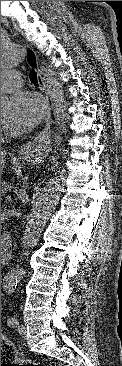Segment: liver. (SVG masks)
<instances>
[{
  "label": "liver",
  "mask_w": 122,
  "mask_h": 366,
  "mask_svg": "<svg viewBox=\"0 0 122 366\" xmlns=\"http://www.w3.org/2000/svg\"><path fill=\"white\" fill-rule=\"evenodd\" d=\"M6 155H7L6 151L1 150V175H2L3 169L5 167ZM15 164H17V163H15ZM18 173H20V170H18Z\"/></svg>",
  "instance_id": "6515ba94"
}]
</instances>
